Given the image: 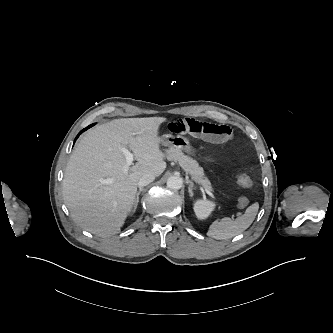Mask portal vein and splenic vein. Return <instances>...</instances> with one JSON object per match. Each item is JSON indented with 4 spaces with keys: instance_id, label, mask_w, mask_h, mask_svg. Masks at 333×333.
<instances>
[{
    "instance_id": "obj_1",
    "label": "portal vein and splenic vein",
    "mask_w": 333,
    "mask_h": 333,
    "mask_svg": "<svg viewBox=\"0 0 333 333\" xmlns=\"http://www.w3.org/2000/svg\"><path fill=\"white\" fill-rule=\"evenodd\" d=\"M121 152L123 153V155L125 156V171H128V168L132 165L133 159H134V155L133 153H131L127 148L125 147H121ZM112 182L111 178H107V179H103L102 183L103 184H109ZM234 215H239V212H236Z\"/></svg>"
}]
</instances>
